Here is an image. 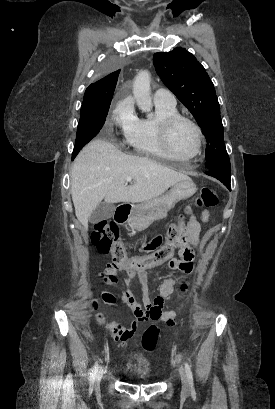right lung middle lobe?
Masks as SVG:
<instances>
[{
  "mask_svg": "<svg viewBox=\"0 0 275 409\" xmlns=\"http://www.w3.org/2000/svg\"><path fill=\"white\" fill-rule=\"evenodd\" d=\"M99 71L100 73H121L122 66L119 64L118 57H106L105 64H100ZM110 104L111 101H83L72 160H74L79 151L99 133L105 123Z\"/></svg>",
  "mask_w": 275,
  "mask_h": 409,
  "instance_id": "right-lung-middle-lobe-1",
  "label": "right lung middle lobe"
}]
</instances>
